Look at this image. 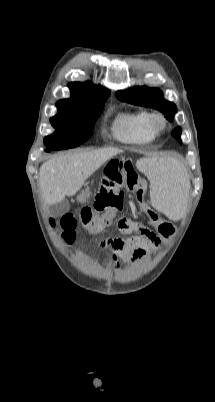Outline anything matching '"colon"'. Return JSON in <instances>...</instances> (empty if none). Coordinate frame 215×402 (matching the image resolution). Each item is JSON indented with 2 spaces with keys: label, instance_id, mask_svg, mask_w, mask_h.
Listing matches in <instances>:
<instances>
[{
  "label": "colon",
  "instance_id": "obj_1",
  "mask_svg": "<svg viewBox=\"0 0 215 402\" xmlns=\"http://www.w3.org/2000/svg\"><path fill=\"white\" fill-rule=\"evenodd\" d=\"M120 164V165H119ZM132 156H112L105 163V177H110L96 195L93 206H87L80 211L82 226L89 232L94 233L112 224L116 214L123 208L124 191L131 194L132 198L141 206L142 211L153 223L157 232L165 238L169 245L175 231V226L167 220L162 219L155 211L145 203L146 182L133 167ZM119 165V166H118ZM111 169H113L111 171ZM111 172V174H110ZM135 220L131 218H120L118 220L119 230L133 227ZM54 224V222H53ZM63 230V238L66 242L72 243L75 240L76 220L66 215L60 220Z\"/></svg>",
  "mask_w": 215,
  "mask_h": 402
}]
</instances>
